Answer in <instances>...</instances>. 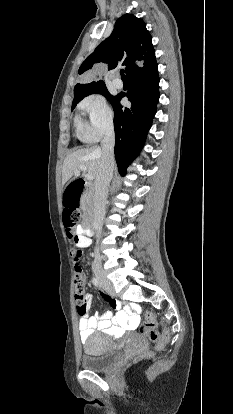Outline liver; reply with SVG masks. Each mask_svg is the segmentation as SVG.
Here are the masks:
<instances>
[{
    "label": "liver",
    "instance_id": "obj_1",
    "mask_svg": "<svg viewBox=\"0 0 233 414\" xmlns=\"http://www.w3.org/2000/svg\"><path fill=\"white\" fill-rule=\"evenodd\" d=\"M102 150L99 146H91L79 149L66 156L62 168V184L65 185L80 167L85 166L88 174H92L96 179L101 169Z\"/></svg>",
    "mask_w": 233,
    "mask_h": 414
}]
</instances>
